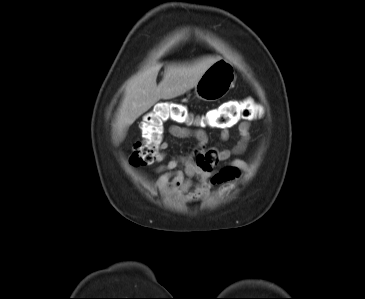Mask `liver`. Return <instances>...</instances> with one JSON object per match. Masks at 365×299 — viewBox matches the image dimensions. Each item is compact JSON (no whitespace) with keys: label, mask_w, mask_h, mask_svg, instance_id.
Listing matches in <instances>:
<instances>
[{"label":"liver","mask_w":365,"mask_h":299,"mask_svg":"<svg viewBox=\"0 0 365 299\" xmlns=\"http://www.w3.org/2000/svg\"><path fill=\"white\" fill-rule=\"evenodd\" d=\"M218 59L208 56L190 64L168 65L159 85L156 78L161 64L153 65L133 77L115 117L113 129L117 141L122 140L129 126L160 99L178 97L195 87L203 73Z\"/></svg>","instance_id":"6515ba94"}]
</instances>
